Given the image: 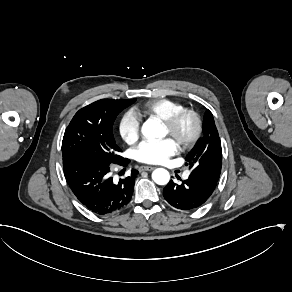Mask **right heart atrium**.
<instances>
[{
    "instance_id": "d8ad5b80",
    "label": "right heart atrium",
    "mask_w": 292,
    "mask_h": 292,
    "mask_svg": "<svg viewBox=\"0 0 292 292\" xmlns=\"http://www.w3.org/2000/svg\"><path fill=\"white\" fill-rule=\"evenodd\" d=\"M118 133L128 145H134L140 138L141 120L135 109L125 110L118 121Z\"/></svg>"
}]
</instances>
